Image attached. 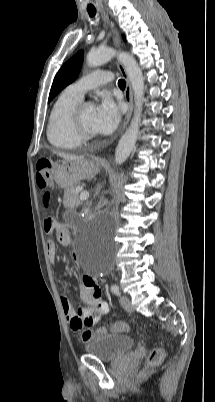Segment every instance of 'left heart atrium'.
I'll return each instance as SVG.
<instances>
[{
	"label": "left heart atrium",
	"instance_id": "1",
	"mask_svg": "<svg viewBox=\"0 0 215 402\" xmlns=\"http://www.w3.org/2000/svg\"><path fill=\"white\" fill-rule=\"evenodd\" d=\"M119 121V108L108 95L103 96L101 102L95 107L93 130L99 134L111 133L116 129Z\"/></svg>",
	"mask_w": 215,
	"mask_h": 402
}]
</instances>
